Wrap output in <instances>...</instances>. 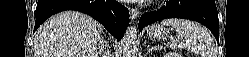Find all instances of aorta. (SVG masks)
Listing matches in <instances>:
<instances>
[{"label": "aorta", "instance_id": "aorta-1", "mask_svg": "<svg viewBox=\"0 0 249 57\" xmlns=\"http://www.w3.org/2000/svg\"><path fill=\"white\" fill-rule=\"evenodd\" d=\"M137 54V28L129 26L122 39V56L135 57Z\"/></svg>", "mask_w": 249, "mask_h": 57}]
</instances>
